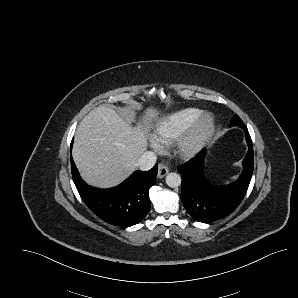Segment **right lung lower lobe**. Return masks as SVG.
<instances>
[{"instance_id":"right-lung-lower-lobe-1","label":"right lung lower lobe","mask_w":298,"mask_h":298,"mask_svg":"<svg viewBox=\"0 0 298 298\" xmlns=\"http://www.w3.org/2000/svg\"><path fill=\"white\" fill-rule=\"evenodd\" d=\"M71 171L82 200L103 221L129 227L148 214L149 189L156 183L157 165L149 171H135L120 185L106 190L88 186L81 179L72 158Z\"/></svg>"}]
</instances>
